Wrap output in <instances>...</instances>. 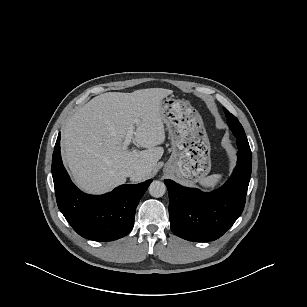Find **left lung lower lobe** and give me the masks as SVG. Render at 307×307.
<instances>
[{
    "label": "left lung lower lobe",
    "instance_id": "0a47b994",
    "mask_svg": "<svg viewBox=\"0 0 307 307\" xmlns=\"http://www.w3.org/2000/svg\"><path fill=\"white\" fill-rule=\"evenodd\" d=\"M238 161L230 179L219 189L203 193L165 180L169 192L172 231L196 242L221 237L241 215L251 176L252 153L248 141L237 140Z\"/></svg>",
    "mask_w": 307,
    "mask_h": 307
}]
</instances>
